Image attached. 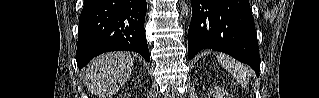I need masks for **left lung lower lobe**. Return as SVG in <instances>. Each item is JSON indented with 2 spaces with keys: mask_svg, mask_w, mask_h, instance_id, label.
Listing matches in <instances>:
<instances>
[{
  "mask_svg": "<svg viewBox=\"0 0 319 98\" xmlns=\"http://www.w3.org/2000/svg\"><path fill=\"white\" fill-rule=\"evenodd\" d=\"M188 58L202 49L231 55L259 76L260 56L248 0H191Z\"/></svg>",
  "mask_w": 319,
  "mask_h": 98,
  "instance_id": "left-lung-lower-lobe-1",
  "label": "left lung lower lobe"
}]
</instances>
